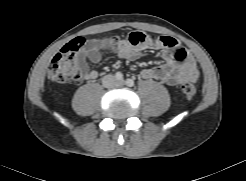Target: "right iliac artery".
Returning a JSON list of instances; mask_svg holds the SVG:
<instances>
[{
    "label": "right iliac artery",
    "instance_id": "right-iliac-artery-1",
    "mask_svg": "<svg viewBox=\"0 0 246 181\" xmlns=\"http://www.w3.org/2000/svg\"><path fill=\"white\" fill-rule=\"evenodd\" d=\"M115 78L117 79V80H123V74L121 73V72H117L116 74H115Z\"/></svg>",
    "mask_w": 246,
    "mask_h": 181
}]
</instances>
